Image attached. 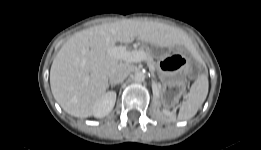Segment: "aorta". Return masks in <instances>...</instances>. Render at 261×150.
Returning a JSON list of instances; mask_svg holds the SVG:
<instances>
[{"mask_svg":"<svg viewBox=\"0 0 261 150\" xmlns=\"http://www.w3.org/2000/svg\"><path fill=\"white\" fill-rule=\"evenodd\" d=\"M145 80V74L143 72H136L134 74V81L141 83Z\"/></svg>","mask_w":261,"mask_h":150,"instance_id":"obj_1","label":"aorta"}]
</instances>
